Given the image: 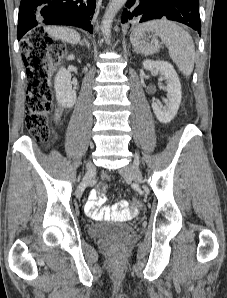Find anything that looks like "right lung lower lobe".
I'll return each mask as SVG.
<instances>
[{
	"label": "right lung lower lobe",
	"instance_id": "1",
	"mask_svg": "<svg viewBox=\"0 0 227 298\" xmlns=\"http://www.w3.org/2000/svg\"><path fill=\"white\" fill-rule=\"evenodd\" d=\"M95 0H21L18 17V40L39 25H71L93 32Z\"/></svg>",
	"mask_w": 227,
	"mask_h": 298
}]
</instances>
